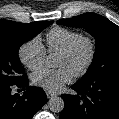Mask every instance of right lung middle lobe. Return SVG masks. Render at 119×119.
I'll use <instances>...</instances> for the list:
<instances>
[{
    "mask_svg": "<svg viewBox=\"0 0 119 119\" xmlns=\"http://www.w3.org/2000/svg\"><path fill=\"white\" fill-rule=\"evenodd\" d=\"M52 23L38 21L22 24L0 20V85H13L26 77L18 56L19 48Z\"/></svg>",
    "mask_w": 119,
    "mask_h": 119,
    "instance_id": "obj_1",
    "label": "right lung middle lobe"
}]
</instances>
